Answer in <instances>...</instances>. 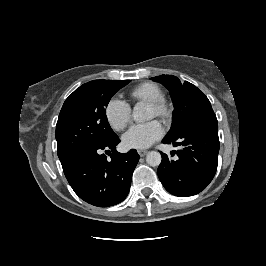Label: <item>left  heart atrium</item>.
Wrapping results in <instances>:
<instances>
[{"instance_id":"39dd6f15","label":"left heart atrium","mask_w":266,"mask_h":266,"mask_svg":"<svg viewBox=\"0 0 266 266\" xmlns=\"http://www.w3.org/2000/svg\"><path fill=\"white\" fill-rule=\"evenodd\" d=\"M164 130L157 120L133 125L122 138L126 148L144 149L162 138Z\"/></svg>"}]
</instances>
